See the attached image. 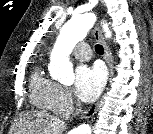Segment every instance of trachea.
<instances>
[{"label": "trachea", "mask_w": 153, "mask_h": 134, "mask_svg": "<svg viewBox=\"0 0 153 134\" xmlns=\"http://www.w3.org/2000/svg\"><path fill=\"white\" fill-rule=\"evenodd\" d=\"M95 51H96V53L99 54V55H103V54H104V48H103V46L100 45V44H97V45L95 46Z\"/></svg>", "instance_id": "trachea-1"}]
</instances>
